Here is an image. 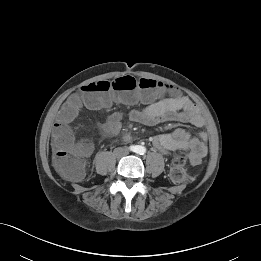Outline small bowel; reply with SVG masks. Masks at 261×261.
<instances>
[{"label": "small bowel", "mask_w": 261, "mask_h": 261, "mask_svg": "<svg viewBox=\"0 0 261 261\" xmlns=\"http://www.w3.org/2000/svg\"><path fill=\"white\" fill-rule=\"evenodd\" d=\"M164 92L168 97L148 102L143 109H131L126 114L119 111L111 112L103 124V130L108 135H117L126 119L148 126H155L168 121L189 123L197 128L206 126V119L200 108L188 97L182 95L174 87H165ZM106 99H109L106 106L113 103L112 96L106 97ZM152 142L156 148L166 153L177 150L188 152L189 161L192 165L200 164L208 152V134L204 130L197 135H192L184 129H176L172 133L153 137ZM92 151V145H87L84 155L89 156Z\"/></svg>", "instance_id": "obj_1"}]
</instances>
